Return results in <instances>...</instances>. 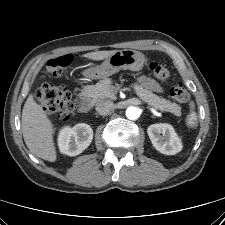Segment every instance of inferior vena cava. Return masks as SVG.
Masks as SVG:
<instances>
[{"label":"inferior vena cava","mask_w":225,"mask_h":225,"mask_svg":"<svg viewBox=\"0 0 225 225\" xmlns=\"http://www.w3.org/2000/svg\"><path fill=\"white\" fill-rule=\"evenodd\" d=\"M114 108L113 102L108 100H102L96 104V111L103 116L109 115Z\"/></svg>","instance_id":"obj_1"}]
</instances>
